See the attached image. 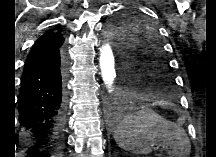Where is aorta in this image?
Instances as JSON below:
<instances>
[{
	"instance_id": "1",
	"label": "aorta",
	"mask_w": 216,
	"mask_h": 157,
	"mask_svg": "<svg viewBox=\"0 0 216 157\" xmlns=\"http://www.w3.org/2000/svg\"><path fill=\"white\" fill-rule=\"evenodd\" d=\"M99 66L105 86L109 92L113 91L117 74L113 51L108 43L103 44L100 48Z\"/></svg>"
}]
</instances>
